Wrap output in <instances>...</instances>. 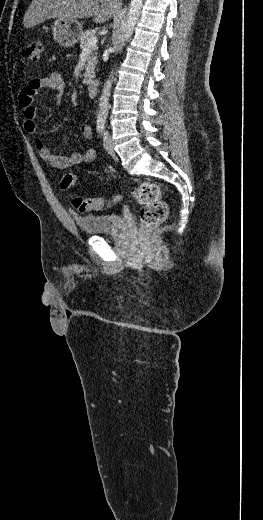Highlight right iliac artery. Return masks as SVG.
Here are the masks:
<instances>
[{
  "mask_svg": "<svg viewBox=\"0 0 263 520\" xmlns=\"http://www.w3.org/2000/svg\"><path fill=\"white\" fill-rule=\"evenodd\" d=\"M104 121H97V131L100 135H103L104 134Z\"/></svg>",
  "mask_w": 263,
  "mask_h": 520,
  "instance_id": "right-iliac-artery-1",
  "label": "right iliac artery"
}]
</instances>
